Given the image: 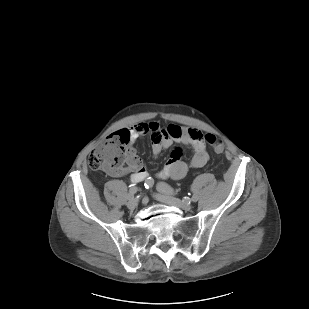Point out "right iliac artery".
I'll list each match as a JSON object with an SVG mask.
<instances>
[{"instance_id":"right-iliac-artery-1","label":"right iliac artery","mask_w":309,"mask_h":309,"mask_svg":"<svg viewBox=\"0 0 309 309\" xmlns=\"http://www.w3.org/2000/svg\"><path fill=\"white\" fill-rule=\"evenodd\" d=\"M153 184H154V180L151 179V178H147V179L145 180L144 186H145L146 189H149V188H151V187L153 186ZM128 199L134 201L135 203H138V202H139V196H135V195L130 196V195H129V196H128Z\"/></svg>"}]
</instances>
